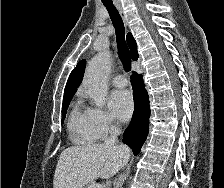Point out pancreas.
<instances>
[{"instance_id":"cf45deb5","label":"pancreas","mask_w":224,"mask_h":188,"mask_svg":"<svg viewBox=\"0 0 224 188\" xmlns=\"http://www.w3.org/2000/svg\"><path fill=\"white\" fill-rule=\"evenodd\" d=\"M91 185H92V183L87 185L85 188H91Z\"/></svg>"}]
</instances>
